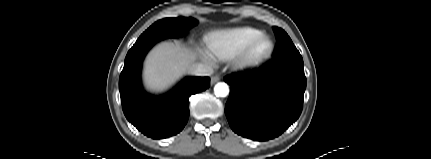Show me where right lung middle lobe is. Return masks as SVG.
Masks as SVG:
<instances>
[{"label":"right lung middle lobe","mask_w":431,"mask_h":159,"mask_svg":"<svg viewBox=\"0 0 431 159\" xmlns=\"http://www.w3.org/2000/svg\"><path fill=\"white\" fill-rule=\"evenodd\" d=\"M196 24L197 21L191 17L165 18L151 25L136 42L176 38Z\"/></svg>","instance_id":"obj_1"}]
</instances>
